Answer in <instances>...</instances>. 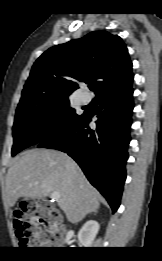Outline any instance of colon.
Listing matches in <instances>:
<instances>
[{"mask_svg":"<svg viewBox=\"0 0 162 261\" xmlns=\"http://www.w3.org/2000/svg\"><path fill=\"white\" fill-rule=\"evenodd\" d=\"M14 228L23 248H45L50 239L41 227L55 228L60 221L59 211L47 200H29L15 212Z\"/></svg>","mask_w":162,"mask_h":261,"instance_id":"1","label":"colon"}]
</instances>
